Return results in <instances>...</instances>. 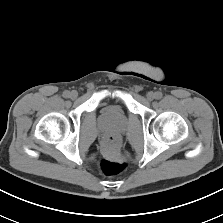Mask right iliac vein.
<instances>
[{
	"instance_id": "63e3f726",
	"label": "right iliac vein",
	"mask_w": 223,
	"mask_h": 223,
	"mask_svg": "<svg viewBox=\"0 0 223 223\" xmlns=\"http://www.w3.org/2000/svg\"><path fill=\"white\" fill-rule=\"evenodd\" d=\"M77 96H78L77 91H72V92L70 93V97H71L72 99H76Z\"/></svg>"
}]
</instances>
